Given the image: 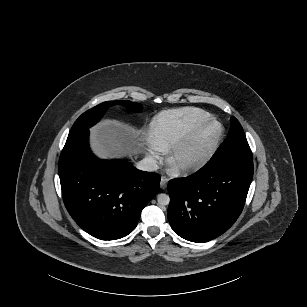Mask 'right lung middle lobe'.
Segmentation results:
<instances>
[{"label":"right lung middle lobe","instance_id":"right-lung-middle-lobe-1","mask_svg":"<svg viewBox=\"0 0 307 307\" xmlns=\"http://www.w3.org/2000/svg\"><path fill=\"white\" fill-rule=\"evenodd\" d=\"M113 105H123L133 112H140L142 105L139 103H134L128 100H118V101H106L103 102L92 109L83 113L72 126L68 138H72L77 134L89 129L91 126L96 124L102 116L105 114L107 109Z\"/></svg>","mask_w":307,"mask_h":307}]
</instances>
